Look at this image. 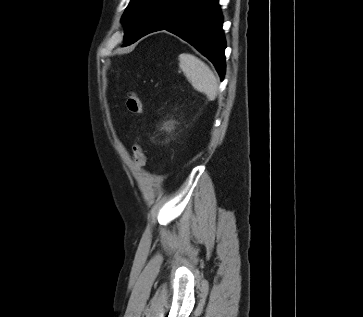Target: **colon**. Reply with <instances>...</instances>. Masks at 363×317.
<instances>
[{
  "mask_svg": "<svg viewBox=\"0 0 363 317\" xmlns=\"http://www.w3.org/2000/svg\"><path fill=\"white\" fill-rule=\"evenodd\" d=\"M126 106L132 114H140L143 111L141 98L134 92H130L127 95ZM132 158L134 163L138 166H142L145 162V153L139 142L133 146Z\"/></svg>",
  "mask_w": 363,
  "mask_h": 317,
  "instance_id": "1",
  "label": "colon"
}]
</instances>
